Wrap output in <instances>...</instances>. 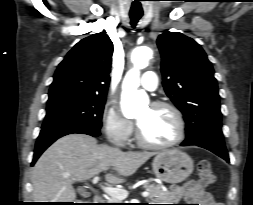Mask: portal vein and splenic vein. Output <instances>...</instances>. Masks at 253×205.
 I'll return each mask as SVG.
<instances>
[{"instance_id":"1","label":"portal vein and splenic vein","mask_w":253,"mask_h":205,"mask_svg":"<svg viewBox=\"0 0 253 205\" xmlns=\"http://www.w3.org/2000/svg\"><path fill=\"white\" fill-rule=\"evenodd\" d=\"M98 181H99L98 176H95L92 180L93 184H97ZM102 189L104 190V192L106 194H108L109 196L116 198L118 200H124L128 197V192L126 190H122V189H118V188H114V187H109V186H102ZM142 196L148 197L149 192H147V191L142 192Z\"/></svg>"}]
</instances>
